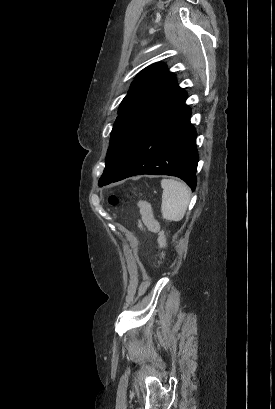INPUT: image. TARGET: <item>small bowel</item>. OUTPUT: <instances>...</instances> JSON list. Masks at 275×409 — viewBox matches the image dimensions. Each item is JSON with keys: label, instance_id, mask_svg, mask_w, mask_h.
I'll return each mask as SVG.
<instances>
[{"label": "small bowel", "instance_id": "obj_1", "mask_svg": "<svg viewBox=\"0 0 275 409\" xmlns=\"http://www.w3.org/2000/svg\"><path fill=\"white\" fill-rule=\"evenodd\" d=\"M139 212L141 215V220L143 225L151 232H159L160 231V226L158 222L154 219L151 207L149 204L142 202L139 204ZM159 245L161 247H165L166 241L163 236H160L159 238Z\"/></svg>", "mask_w": 275, "mask_h": 409}]
</instances>
